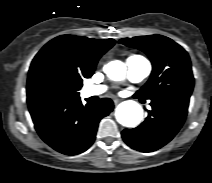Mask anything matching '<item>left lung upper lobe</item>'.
I'll list each match as a JSON object with an SVG mask.
<instances>
[{
    "label": "left lung upper lobe",
    "instance_id": "5c2ea615",
    "mask_svg": "<svg viewBox=\"0 0 212 183\" xmlns=\"http://www.w3.org/2000/svg\"><path fill=\"white\" fill-rule=\"evenodd\" d=\"M128 47L145 52L152 61L153 70L148 82L137 91L136 97L186 98L194 86V77L188 53L168 37L161 35L123 38Z\"/></svg>",
    "mask_w": 212,
    "mask_h": 183
}]
</instances>
